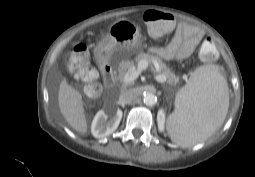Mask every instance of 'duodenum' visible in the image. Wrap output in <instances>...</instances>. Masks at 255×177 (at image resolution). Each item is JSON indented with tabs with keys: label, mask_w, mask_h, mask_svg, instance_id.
I'll return each mask as SVG.
<instances>
[{
	"label": "duodenum",
	"mask_w": 255,
	"mask_h": 177,
	"mask_svg": "<svg viewBox=\"0 0 255 177\" xmlns=\"http://www.w3.org/2000/svg\"><path fill=\"white\" fill-rule=\"evenodd\" d=\"M98 62L106 87L110 89L114 88L115 74L111 64L108 61H106L105 57L102 56L98 58Z\"/></svg>",
	"instance_id": "obj_1"
}]
</instances>
